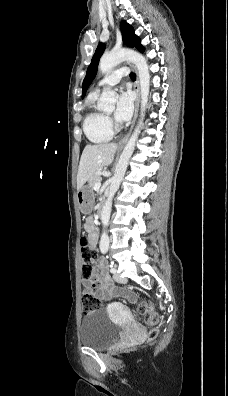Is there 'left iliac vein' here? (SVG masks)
<instances>
[{"mask_svg": "<svg viewBox=\"0 0 228 396\" xmlns=\"http://www.w3.org/2000/svg\"><path fill=\"white\" fill-rule=\"evenodd\" d=\"M114 280L116 281V282H118V283H125L126 282V279L125 278H122L119 274H117V273H114Z\"/></svg>", "mask_w": 228, "mask_h": 396, "instance_id": "4c4485c4", "label": "left iliac vein"}]
</instances>
